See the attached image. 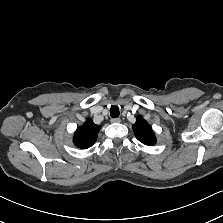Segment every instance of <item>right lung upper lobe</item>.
<instances>
[{
	"instance_id": "1",
	"label": "right lung upper lobe",
	"mask_w": 223,
	"mask_h": 223,
	"mask_svg": "<svg viewBox=\"0 0 223 223\" xmlns=\"http://www.w3.org/2000/svg\"><path fill=\"white\" fill-rule=\"evenodd\" d=\"M100 126L87 119L83 126L79 127L74 135V144L79 148H88L92 146L96 139Z\"/></svg>"
}]
</instances>
